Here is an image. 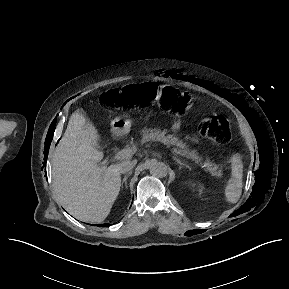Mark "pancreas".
Masks as SVG:
<instances>
[{"instance_id":"pancreas-1","label":"pancreas","mask_w":289,"mask_h":289,"mask_svg":"<svg viewBox=\"0 0 289 289\" xmlns=\"http://www.w3.org/2000/svg\"><path fill=\"white\" fill-rule=\"evenodd\" d=\"M143 139L142 142L146 143L149 141H159L165 145H173L174 151L179 152L182 156V154L186 155L184 157L193 159L196 162H202L203 159L198 155L196 150L190 149L185 143H183L182 140H179L176 137H173L172 135H166L165 131H161L160 129H143L142 130ZM205 165V169L214 177L219 178L222 176V170L219 168L218 165L211 161H205L203 162Z\"/></svg>"}]
</instances>
